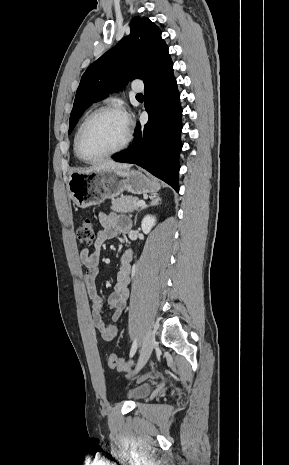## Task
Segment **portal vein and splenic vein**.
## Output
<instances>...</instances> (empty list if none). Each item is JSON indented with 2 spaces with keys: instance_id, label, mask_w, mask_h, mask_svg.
Listing matches in <instances>:
<instances>
[{
  "instance_id": "portal-vein-and-splenic-vein-1",
  "label": "portal vein and splenic vein",
  "mask_w": 289,
  "mask_h": 465,
  "mask_svg": "<svg viewBox=\"0 0 289 465\" xmlns=\"http://www.w3.org/2000/svg\"><path fill=\"white\" fill-rule=\"evenodd\" d=\"M144 204H145V201H144V200H139V201L137 202V205H138V206H143Z\"/></svg>"
}]
</instances>
